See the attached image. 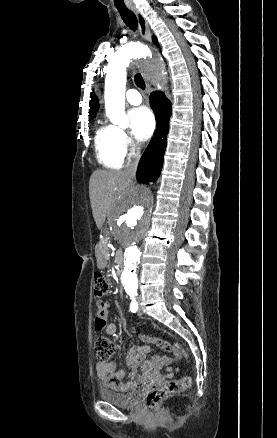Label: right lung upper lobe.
Returning a JSON list of instances; mask_svg holds the SVG:
<instances>
[{
	"label": "right lung upper lobe",
	"instance_id": "1",
	"mask_svg": "<svg viewBox=\"0 0 277 438\" xmlns=\"http://www.w3.org/2000/svg\"><path fill=\"white\" fill-rule=\"evenodd\" d=\"M153 41L155 44H158L155 36H153ZM90 107H91L89 110L90 116L94 117L98 109V100L97 97L94 95V93L91 94Z\"/></svg>",
	"mask_w": 277,
	"mask_h": 438
}]
</instances>
